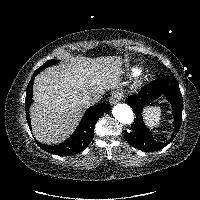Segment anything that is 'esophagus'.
<instances>
[{"label": "esophagus", "instance_id": "34e87169", "mask_svg": "<svg viewBox=\"0 0 200 200\" xmlns=\"http://www.w3.org/2000/svg\"><path fill=\"white\" fill-rule=\"evenodd\" d=\"M123 97V94L120 91H114L110 98H109V102L111 105L116 104L117 102H119Z\"/></svg>", "mask_w": 200, "mask_h": 200}]
</instances>
